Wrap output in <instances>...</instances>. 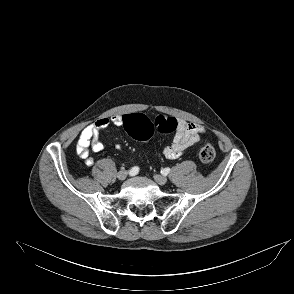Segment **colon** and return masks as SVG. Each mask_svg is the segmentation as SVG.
Masks as SVG:
<instances>
[{"label": "colon", "instance_id": "colon-1", "mask_svg": "<svg viewBox=\"0 0 294 294\" xmlns=\"http://www.w3.org/2000/svg\"><path fill=\"white\" fill-rule=\"evenodd\" d=\"M126 132L136 140L148 141L157 130L160 133H171L177 129V120L169 116H158L151 121L141 113L128 114L123 117ZM216 156L212 144L204 142L199 150V160L204 164L211 163Z\"/></svg>", "mask_w": 294, "mask_h": 294}]
</instances>
